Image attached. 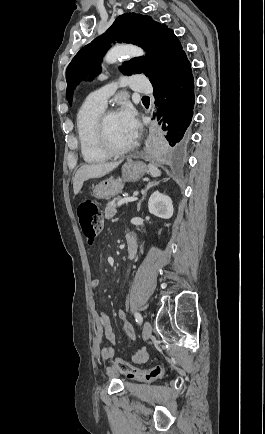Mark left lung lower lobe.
I'll return each instance as SVG.
<instances>
[{"instance_id": "0a47b994", "label": "left lung lower lobe", "mask_w": 265, "mask_h": 434, "mask_svg": "<svg viewBox=\"0 0 265 434\" xmlns=\"http://www.w3.org/2000/svg\"><path fill=\"white\" fill-rule=\"evenodd\" d=\"M167 88L165 95L163 89ZM166 97L158 114L162 129L167 131L165 139L155 141L157 151L166 154H179L191 142V124L194 108V78L191 63L186 54L181 55L162 84L154 87V97L159 103Z\"/></svg>"}]
</instances>
